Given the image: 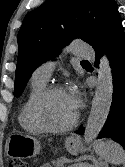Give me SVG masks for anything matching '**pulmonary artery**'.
Wrapping results in <instances>:
<instances>
[{"label": "pulmonary artery", "instance_id": "e3ab8cb5", "mask_svg": "<svg viewBox=\"0 0 125 167\" xmlns=\"http://www.w3.org/2000/svg\"><path fill=\"white\" fill-rule=\"evenodd\" d=\"M72 51L78 58L87 59L93 56L92 49L87 47L85 42H83L82 40H76L72 44ZM55 65L56 63L54 61L44 62L34 71L33 78L46 83L51 77Z\"/></svg>", "mask_w": 125, "mask_h": 167}]
</instances>
